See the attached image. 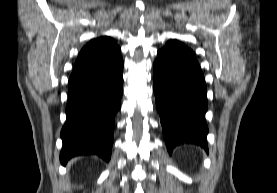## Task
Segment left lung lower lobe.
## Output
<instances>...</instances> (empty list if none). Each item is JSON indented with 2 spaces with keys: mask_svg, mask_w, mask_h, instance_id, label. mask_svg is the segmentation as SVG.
<instances>
[{
  "mask_svg": "<svg viewBox=\"0 0 277 193\" xmlns=\"http://www.w3.org/2000/svg\"><path fill=\"white\" fill-rule=\"evenodd\" d=\"M153 67L156 107L168 151L182 143L207 150V89L194 52L170 40L158 51Z\"/></svg>",
  "mask_w": 277,
  "mask_h": 193,
  "instance_id": "1",
  "label": "left lung lower lobe"
}]
</instances>
